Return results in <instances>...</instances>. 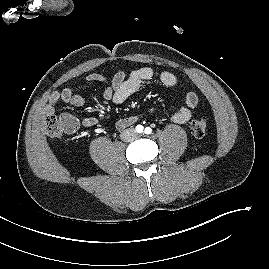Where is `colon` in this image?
<instances>
[{
    "label": "colon",
    "instance_id": "obj_1",
    "mask_svg": "<svg viewBox=\"0 0 269 269\" xmlns=\"http://www.w3.org/2000/svg\"><path fill=\"white\" fill-rule=\"evenodd\" d=\"M75 129L76 123L69 114H63L61 116L48 114L45 118V130L51 137H59L63 133H73ZM191 130L195 137H203L207 131V118L201 116L192 120Z\"/></svg>",
    "mask_w": 269,
    "mask_h": 269
}]
</instances>
